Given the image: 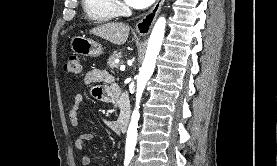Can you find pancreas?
<instances>
[{
	"label": "pancreas",
	"mask_w": 277,
	"mask_h": 166,
	"mask_svg": "<svg viewBox=\"0 0 277 166\" xmlns=\"http://www.w3.org/2000/svg\"><path fill=\"white\" fill-rule=\"evenodd\" d=\"M121 57V52L115 51L108 59V67L113 72L114 70L118 69V64L115 63L116 58Z\"/></svg>",
	"instance_id": "cf45deb5"
}]
</instances>
